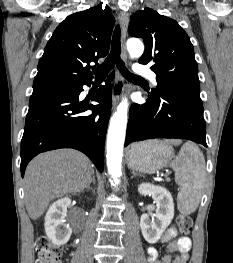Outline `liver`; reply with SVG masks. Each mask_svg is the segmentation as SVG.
<instances>
[{
	"label": "liver",
	"instance_id": "6515ba94",
	"mask_svg": "<svg viewBox=\"0 0 233 263\" xmlns=\"http://www.w3.org/2000/svg\"><path fill=\"white\" fill-rule=\"evenodd\" d=\"M91 161L81 152L60 149L36 156L25 173V205L31 219L39 218L50 202L82 192L92 182Z\"/></svg>",
	"mask_w": 233,
	"mask_h": 263
}]
</instances>
